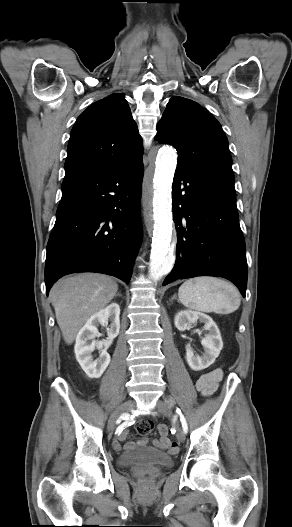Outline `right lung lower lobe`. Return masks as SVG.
Segmentation results:
<instances>
[{"instance_id": "obj_1", "label": "right lung lower lobe", "mask_w": 292, "mask_h": 527, "mask_svg": "<svg viewBox=\"0 0 292 527\" xmlns=\"http://www.w3.org/2000/svg\"><path fill=\"white\" fill-rule=\"evenodd\" d=\"M142 175V157L106 171L65 174L47 244V294L59 278L76 272L129 282L142 236Z\"/></svg>"}]
</instances>
